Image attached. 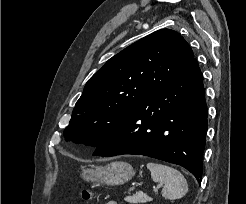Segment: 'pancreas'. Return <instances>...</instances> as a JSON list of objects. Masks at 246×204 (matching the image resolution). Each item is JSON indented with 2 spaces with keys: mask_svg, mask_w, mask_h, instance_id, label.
I'll use <instances>...</instances> for the list:
<instances>
[{
  "mask_svg": "<svg viewBox=\"0 0 246 204\" xmlns=\"http://www.w3.org/2000/svg\"><path fill=\"white\" fill-rule=\"evenodd\" d=\"M124 200L131 204H137L151 201V198L144 193H137L136 195L125 197Z\"/></svg>",
  "mask_w": 246,
  "mask_h": 204,
  "instance_id": "obj_1",
  "label": "pancreas"
}]
</instances>
